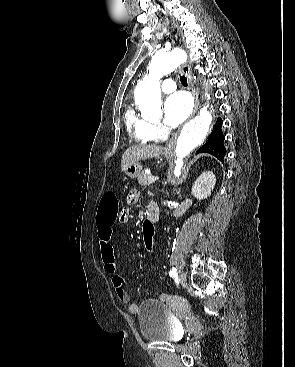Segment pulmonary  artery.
<instances>
[{
  "label": "pulmonary artery",
  "instance_id": "pulmonary-artery-1",
  "mask_svg": "<svg viewBox=\"0 0 295 367\" xmlns=\"http://www.w3.org/2000/svg\"><path fill=\"white\" fill-rule=\"evenodd\" d=\"M161 89L164 93H171L176 90V84L172 79H166L162 82Z\"/></svg>",
  "mask_w": 295,
  "mask_h": 367
}]
</instances>
